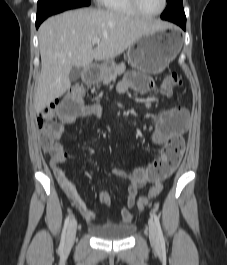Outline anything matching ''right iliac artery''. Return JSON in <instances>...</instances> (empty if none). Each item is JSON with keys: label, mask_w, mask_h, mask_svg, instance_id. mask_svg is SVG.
I'll return each instance as SVG.
<instances>
[{"label": "right iliac artery", "mask_w": 227, "mask_h": 265, "mask_svg": "<svg viewBox=\"0 0 227 265\" xmlns=\"http://www.w3.org/2000/svg\"><path fill=\"white\" fill-rule=\"evenodd\" d=\"M70 219H71V214H69L67 216V218L65 219V222H64V227H63V230H62V236H61V242H60V247L62 249H63L64 244H65L66 230H67L68 224L70 222Z\"/></svg>", "instance_id": "82829eb1"}]
</instances>
